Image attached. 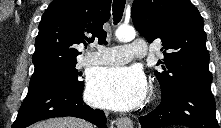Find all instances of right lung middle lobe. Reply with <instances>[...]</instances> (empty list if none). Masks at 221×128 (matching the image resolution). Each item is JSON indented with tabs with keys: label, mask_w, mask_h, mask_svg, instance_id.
Listing matches in <instances>:
<instances>
[{
	"label": "right lung middle lobe",
	"mask_w": 221,
	"mask_h": 128,
	"mask_svg": "<svg viewBox=\"0 0 221 128\" xmlns=\"http://www.w3.org/2000/svg\"><path fill=\"white\" fill-rule=\"evenodd\" d=\"M78 70L75 65L56 69L48 73L33 75L30 79L29 89L34 90L52 83L71 85L78 89H83L84 83L79 80Z\"/></svg>",
	"instance_id": "right-lung-middle-lobe-1"
}]
</instances>
